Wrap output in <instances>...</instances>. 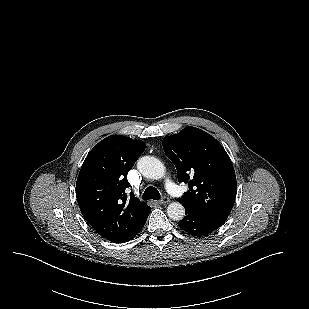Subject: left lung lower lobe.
Returning a JSON list of instances; mask_svg holds the SVG:
<instances>
[{
    "instance_id": "1",
    "label": "left lung lower lobe",
    "mask_w": 309,
    "mask_h": 309,
    "mask_svg": "<svg viewBox=\"0 0 309 309\" xmlns=\"http://www.w3.org/2000/svg\"><path fill=\"white\" fill-rule=\"evenodd\" d=\"M186 216L178 226L193 236H204L218 229L224 222L207 213L185 207Z\"/></svg>"
}]
</instances>
